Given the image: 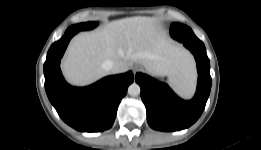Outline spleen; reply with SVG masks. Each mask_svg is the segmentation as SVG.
Segmentation results:
<instances>
[{
  "label": "spleen",
  "mask_w": 261,
  "mask_h": 150,
  "mask_svg": "<svg viewBox=\"0 0 261 150\" xmlns=\"http://www.w3.org/2000/svg\"><path fill=\"white\" fill-rule=\"evenodd\" d=\"M174 89L183 97H190L194 91L195 76L192 66L178 77H169Z\"/></svg>",
  "instance_id": "3e777b00"
}]
</instances>
